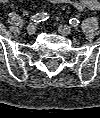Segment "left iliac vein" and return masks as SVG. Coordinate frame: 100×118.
I'll use <instances>...</instances> for the list:
<instances>
[{
    "label": "left iliac vein",
    "mask_w": 100,
    "mask_h": 118,
    "mask_svg": "<svg viewBox=\"0 0 100 118\" xmlns=\"http://www.w3.org/2000/svg\"><path fill=\"white\" fill-rule=\"evenodd\" d=\"M58 31H59V33L62 34L63 36H68V35L71 34L72 29H71L69 26H67V25H60V26L58 27Z\"/></svg>",
    "instance_id": "left-iliac-vein-1"
}]
</instances>
